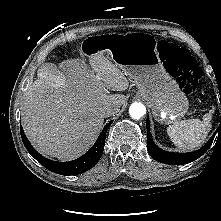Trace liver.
<instances>
[{
	"instance_id": "6515ba94",
	"label": "liver",
	"mask_w": 221,
	"mask_h": 221,
	"mask_svg": "<svg viewBox=\"0 0 221 221\" xmlns=\"http://www.w3.org/2000/svg\"><path fill=\"white\" fill-rule=\"evenodd\" d=\"M63 61L56 67L46 63L38 78L24 93L22 125L28 139L45 156L73 160L95 142L109 105L121 107L129 82L102 52L89 59Z\"/></svg>"
}]
</instances>
